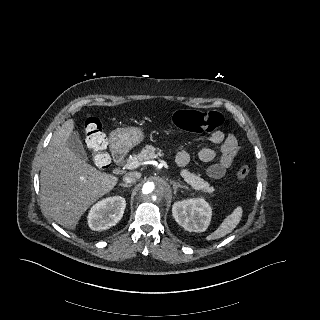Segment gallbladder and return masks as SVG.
Wrapping results in <instances>:
<instances>
[{"instance_id": "bac80fb5", "label": "gallbladder", "mask_w": 320, "mask_h": 320, "mask_svg": "<svg viewBox=\"0 0 320 320\" xmlns=\"http://www.w3.org/2000/svg\"><path fill=\"white\" fill-rule=\"evenodd\" d=\"M67 145L70 150L80 159L87 160V153L84 149V146L79 138L77 132H72L70 136L67 138Z\"/></svg>"}]
</instances>
